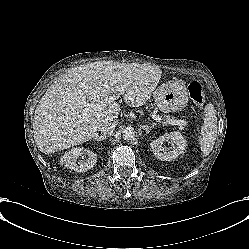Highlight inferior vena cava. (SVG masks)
I'll return each mask as SVG.
<instances>
[{
	"label": "inferior vena cava",
	"instance_id": "inferior-vena-cava-1",
	"mask_svg": "<svg viewBox=\"0 0 249 249\" xmlns=\"http://www.w3.org/2000/svg\"><path fill=\"white\" fill-rule=\"evenodd\" d=\"M116 124V121H105L99 125L98 132H101L103 134L102 137L110 135L113 133Z\"/></svg>",
	"mask_w": 249,
	"mask_h": 249
}]
</instances>
